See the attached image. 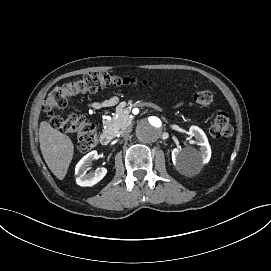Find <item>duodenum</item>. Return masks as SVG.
<instances>
[{
  "mask_svg": "<svg viewBox=\"0 0 271 271\" xmlns=\"http://www.w3.org/2000/svg\"><path fill=\"white\" fill-rule=\"evenodd\" d=\"M113 140V133L110 130H104L100 134V142L103 145H108Z\"/></svg>",
  "mask_w": 271,
  "mask_h": 271,
  "instance_id": "410a0bca",
  "label": "duodenum"
}]
</instances>
